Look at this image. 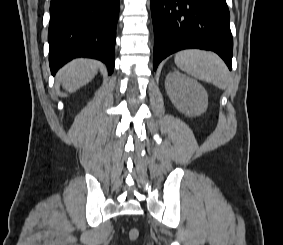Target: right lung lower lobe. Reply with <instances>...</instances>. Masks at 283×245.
Instances as JSON below:
<instances>
[{
  "mask_svg": "<svg viewBox=\"0 0 283 245\" xmlns=\"http://www.w3.org/2000/svg\"><path fill=\"white\" fill-rule=\"evenodd\" d=\"M120 0H51L48 40L53 75L75 57L101 60L114 69Z\"/></svg>",
  "mask_w": 283,
  "mask_h": 245,
  "instance_id": "98d812e1",
  "label": "right lung lower lobe"
}]
</instances>
